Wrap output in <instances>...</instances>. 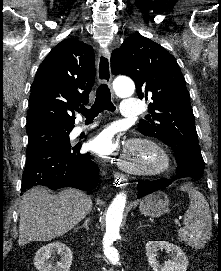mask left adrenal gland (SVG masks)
Masks as SVG:
<instances>
[{
	"label": "left adrenal gland",
	"mask_w": 221,
	"mask_h": 271,
	"mask_svg": "<svg viewBox=\"0 0 221 271\" xmlns=\"http://www.w3.org/2000/svg\"><path fill=\"white\" fill-rule=\"evenodd\" d=\"M139 227H144V225H142L141 221H139Z\"/></svg>",
	"instance_id": "1"
}]
</instances>
